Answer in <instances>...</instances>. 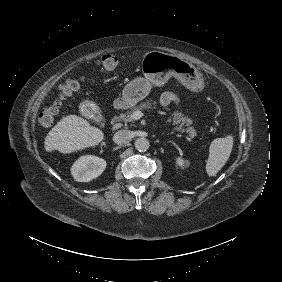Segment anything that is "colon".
I'll list each match as a JSON object with an SVG mask.
<instances>
[{
	"label": "colon",
	"instance_id": "1",
	"mask_svg": "<svg viewBox=\"0 0 282 282\" xmlns=\"http://www.w3.org/2000/svg\"><path fill=\"white\" fill-rule=\"evenodd\" d=\"M119 65V58L115 54H105L99 61L101 71L107 72L116 69ZM79 87L77 80H70L64 83L57 91L53 102L42 112L39 117V125L42 128L48 129L55 123L59 108L63 100L69 97Z\"/></svg>",
	"mask_w": 282,
	"mask_h": 282
}]
</instances>
